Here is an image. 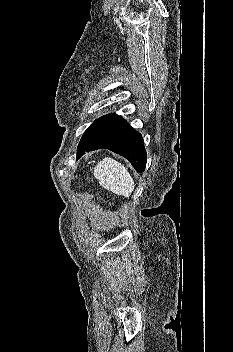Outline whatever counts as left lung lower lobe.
Here are the masks:
<instances>
[{"mask_svg":"<svg viewBox=\"0 0 233 352\" xmlns=\"http://www.w3.org/2000/svg\"><path fill=\"white\" fill-rule=\"evenodd\" d=\"M100 148L109 149L123 156L138 173L145 170L147 153L142 136L124 119L108 127L100 135L81 147L78 150L77 159L86 152Z\"/></svg>","mask_w":233,"mask_h":352,"instance_id":"obj_1","label":"left lung lower lobe"}]
</instances>
